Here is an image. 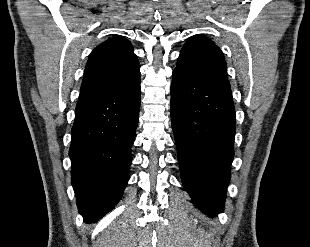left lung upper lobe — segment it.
<instances>
[{
  "label": "left lung upper lobe",
  "mask_w": 310,
  "mask_h": 247,
  "mask_svg": "<svg viewBox=\"0 0 310 247\" xmlns=\"http://www.w3.org/2000/svg\"><path fill=\"white\" fill-rule=\"evenodd\" d=\"M175 70L230 86L222 51L202 35H194L184 44Z\"/></svg>",
  "instance_id": "obj_1"
}]
</instances>
